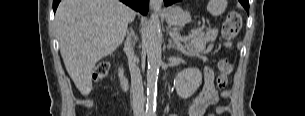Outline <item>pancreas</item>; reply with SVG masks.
Returning <instances> with one entry per match:
<instances>
[{
  "label": "pancreas",
  "mask_w": 305,
  "mask_h": 116,
  "mask_svg": "<svg viewBox=\"0 0 305 116\" xmlns=\"http://www.w3.org/2000/svg\"><path fill=\"white\" fill-rule=\"evenodd\" d=\"M178 40L183 41V38L179 36ZM208 41H210V39L203 32H200L191 37L184 46H179V48L186 56L200 57L202 54L206 53L205 47Z\"/></svg>",
  "instance_id": "obj_1"
}]
</instances>
